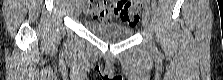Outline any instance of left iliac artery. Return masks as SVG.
I'll use <instances>...</instances> for the list:
<instances>
[{"mask_svg":"<svg viewBox=\"0 0 223 80\" xmlns=\"http://www.w3.org/2000/svg\"><path fill=\"white\" fill-rule=\"evenodd\" d=\"M145 13L148 14V15L150 16V14H151V9H150V7L146 6V8H145Z\"/></svg>","mask_w":223,"mask_h":80,"instance_id":"44dca946","label":"left iliac artery"}]
</instances>
